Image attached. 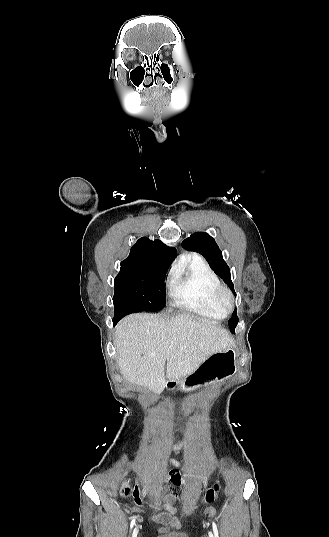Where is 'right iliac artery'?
I'll return each instance as SVG.
<instances>
[{
  "label": "right iliac artery",
  "mask_w": 329,
  "mask_h": 537,
  "mask_svg": "<svg viewBox=\"0 0 329 537\" xmlns=\"http://www.w3.org/2000/svg\"><path fill=\"white\" fill-rule=\"evenodd\" d=\"M135 522H136V517H134V518L132 519L131 524H130V529L133 528Z\"/></svg>",
  "instance_id": "obj_1"
}]
</instances>
